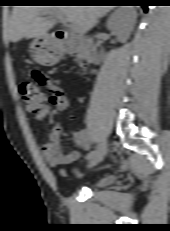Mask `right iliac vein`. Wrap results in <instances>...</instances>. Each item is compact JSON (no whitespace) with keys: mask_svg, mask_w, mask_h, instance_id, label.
<instances>
[{"mask_svg":"<svg viewBox=\"0 0 170 231\" xmlns=\"http://www.w3.org/2000/svg\"><path fill=\"white\" fill-rule=\"evenodd\" d=\"M107 151H108V145H107V141L104 139L99 144L95 155L89 160L88 167L91 168L99 164L106 156Z\"/></svg>","mask_w":170,"mask_h":231,"instance_id":"obj_1","label":"right iliac vein"}]
</instances>
